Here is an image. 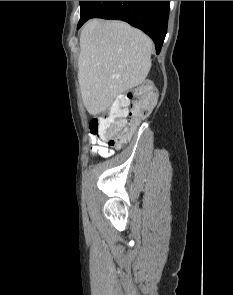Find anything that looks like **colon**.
<instances>
[{"mask_svg":"<svg viewBox=\"0 0 233 295\" xmlns=\"http://www.w3.org/2000/svg\"><path fill=\"white\" fill-rule=\"evenodd\" d=\"M155 102V93L149 83H142L127 94L115 99L109 111L90 121L92 135L110 147L124 145L135 127L147 117Z\"/></svg>","mask_w":233,"mask_h":295,"instance_id":"5ec220e1","label":"colon"}]
</instances>
